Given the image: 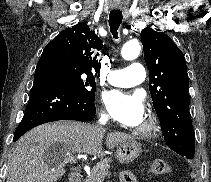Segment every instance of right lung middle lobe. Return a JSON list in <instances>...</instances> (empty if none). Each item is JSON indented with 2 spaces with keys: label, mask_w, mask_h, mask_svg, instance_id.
Here are the masks:
<instances>
[{
  "label": "right lung middle lobe",
  "mask_w": 211,
  "mask_h": 182,
  "mask_svg": "<svg viewBox=\"0 0 211 182\" xmlns=\"http://www.w3.org/2000/svg\"><path fill=\"white\" fill-rule=\"evenodd\" d=\"M57 64L62 68L81 95L88 99L95 100L96 83L93 75L62 62H57Z\"/></svg>",
  "instance_id": "dd1d6c3e"
}]
</instances>
